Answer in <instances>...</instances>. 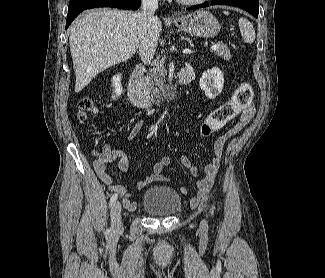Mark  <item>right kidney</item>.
Masks as SVG:
<instances>
[{
    "label": "right kidney",
    "instance_id": "obj_1",
    "mask_svg": "<svg viewBox=\"0 0 325 278\" xmlns=\"http://www.w3.org/2000/svg\"><path fill=\"white\" fill-rule=\"evenodd\" d=\"M112 86L114 87L112 98L116 100V98L120 97L123 93L122 85H121V75L117 74L112 78Z\"/></svg>",
    "mask_w": 325,
    "mask_h": 278
}]
</instances>
